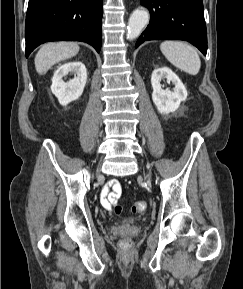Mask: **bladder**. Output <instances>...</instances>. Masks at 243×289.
<instances>
[{"instance_id": "1", "label": "bladder", "mask_w": 243, "mask_h": 289, "mask_svg": "<svg viewBox=\"0 0 243 289\" xmlns=\"http://www.w3.org/2000/svg\"><path fill=\"white\" fill-rule=\"evenodd\" d=\"M135 218L129 217L122 220L123 223H133L135 222Z\"/></svg>"}]
</instances>
